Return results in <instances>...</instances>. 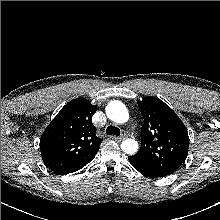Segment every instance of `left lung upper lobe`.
Wrapping results in <instances>:
<instances>
[{
	"label": "left lung upper lobe",
	"mask_w": 220,
	"mask_h": 220,
	"mask_svg": "<svg viewBox=\"0 0 220 220\" xmlns=\"http://www.w3.org/2000/svg\"><path fill=\"white\" fill-rule=\"evenodd\" d=\"M144 119L141 147L135 154L172 174L185 161L189 149L187 129L177 114L162 100L147 97L138 102Z\"/></svg>",
	"instance_id": "1"
}]
</instances>
